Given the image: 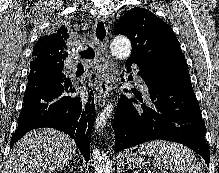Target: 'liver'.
<instances>
[{"label":"liver","mask_w":219,"mask_h":173,"mask_svg":"<svg viewBox=\"0 0 219 173\" xmlns=\"http://www.w3.org/2000/svg\"><path fill=\"white\" fill-rule=\"evenodd\" d=\"M75 141L51 128L33 130L13 147L6 173H52L73 157Z\"/></svg>","instance_id":"obj_1"}]
</instances>
